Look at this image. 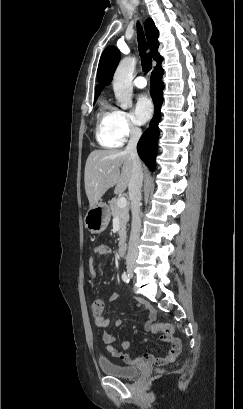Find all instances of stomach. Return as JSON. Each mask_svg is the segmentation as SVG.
Returning a JSON list of instances; mask_svg holds the SVG:
<instances>
[{
  "label": "stomach",
  "mask_w": 243,
  "mask_h": 409,
  "mask_svg": "<svg viewBox=\"0 0 243 409\" xmlns=\"http://www.w3.org/2000/svg\"><path fill=\"white\" fill-rule=\"evenodd\" d=\"M110 210L107 204L98 203L87 211L84 224L91 233L103 232L110 221Z\"/></svg>",
  "instance_id": "0dacf381"
}]
</instances>
